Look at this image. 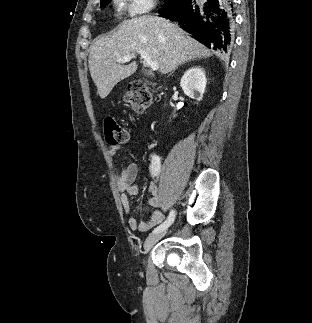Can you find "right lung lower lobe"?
<instances>
[{
  "label": "right lung lower lobe",
  "mask_w": 312,
  "mask_h": 323,
  "mask_svg": "<svg viewBox=\"0 0 312 323\" xmlns=\"http://www.w3.org/2000/svg\"><path fill=\"white\" fill-rule=\"evenodd\" d=\"M234 9L233 0H180L159 13L164 18L176 21L207 48L227 54L233 44Z\"/></svg>",
  "instance_id": "obj_1"
}]
</instances>
